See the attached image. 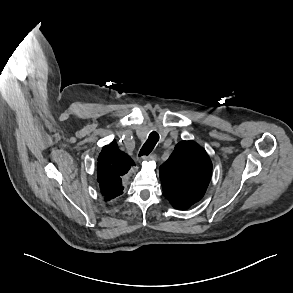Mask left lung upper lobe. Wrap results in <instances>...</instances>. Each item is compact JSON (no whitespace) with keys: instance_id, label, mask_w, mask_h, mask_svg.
Instances as JSON below:
<instances>
[{"instance_id":"5c2ea615","label":"left lung upper lobe","mask_w":293,"mask_h":293,"mask_svg":"<svg viewBox=\"0 0 293 293\" xmlns=\"http://www.w3.org/2000/svg\"><path fill=\"white\" fill-rule=\"evenodd\" d=\"M212 163L206 151L194 141L179 142L160 166L163 193L181 210L201 200L211 179Z\"/></svg>"}]
</instances>
